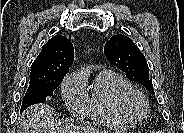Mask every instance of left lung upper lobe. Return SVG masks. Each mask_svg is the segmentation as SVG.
I'll return each mask as SVG.
<instances>
[{
	"instance_id": "1",
	"label": "left lung upper lobe",
	"mask_w": 184,
	"mask_h": 133,
	"mask_svg": "<svg viewBox=\"0 0 184 133\" xmlns=\"http://www.w3.org/2000/svg\"><path fill=\"white\" fill-rule=\"evenodd\" d=\"M104 53L111 64L125 72L126 76L143 85L151 94L154 93L149 80V67L145 56L127 36H113L104 47Z\"/></svg>"
}]
</instances>
